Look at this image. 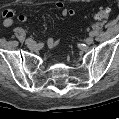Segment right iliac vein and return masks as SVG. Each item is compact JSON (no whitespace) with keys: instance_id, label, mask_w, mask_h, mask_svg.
<instances>
[{"instance_id":"obj_1","label":"right iliac vein","mask_w":119,"mask_h":119,"mask_svg":"<svg viewBox=\"0 0 119 119\" xmlns=\"http://www.w3.org/2000/svg\"><path fill=\"white\" fill-rule=\"evenodd\" d=\"M26 45H27V47H29V48H34L35 45H36V43H35L33 40H31V41L27 42Z\"/></svg>"}]
</instances>
